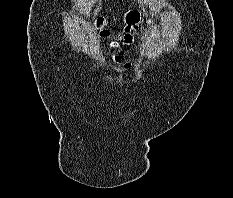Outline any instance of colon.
<instances>
[{"instance_id": "colon-1", "label": "colon", "mask_w": 233, "mask_h": 198, "mask_svg": "<svg viewBox=\"0 0 233 198\" xmlns=\"http://www.w3.org/2000/svg\"><path fill=\"white\" fill-rule=\"evenodd\" d=\"M141 20L140 13L135 10H131L125 13L123 17L125 31L134 32L137 30ZM97 26L101 29V33L105 35L108 31L105 29V21L102 18L97 20Z\"/></svg>"}]
</instances>
